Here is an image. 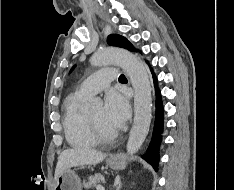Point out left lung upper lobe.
Listing matches in <instances>:
<instances>
[{"label": "left lung upper lobe", "mask_w": 234, "mask_h": 190, "mask_svg": "<svg viewBox=\"0 0 234 190\" xmlns=\"http://www.w3.org/2000/svg\"><path fill=\"white\" fill-rule=\"evenodd\" d=\"M107 42L111 46L121 47L129 51H135L133 45L125 37L117 34L109 35Z\"/></svg>", "instance_id": "5c2ea615"}]
</instances>
